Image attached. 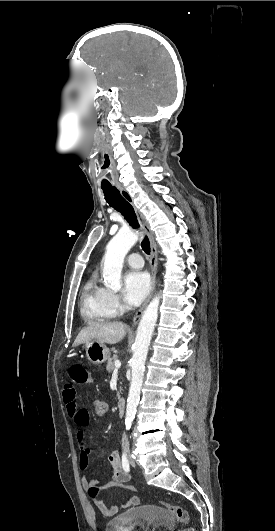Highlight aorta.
Instances as JSON below:
<instances>
[{
    "label": "aorta",
    "mask_w": 275,
    "mask_h": 531,
    "mask_svg": "<svg viewBox=\"0 0 275 531\" xmlns=\"http://www.w3.org/2000/svg\"><path fill=\"white\" fill-rule=\"evenodd\" d=\"M137 241L138 235L130 231V229H127V231H118L117 235L109 241L103 257V279L105 287L110 289V291H119L121 289V271L124 259L128 251L134 247ZM159 303L160 297H154L152 299L150 305L146 307L138 325L133 357L131 359L132 375L126 407V429H131L132 421L135 419L140 391L143 385L145 361L158 317Z\"/></svg>",
    "instance_id": "1"
}]
</instances>
